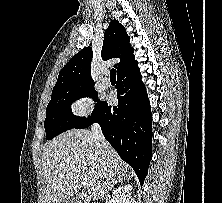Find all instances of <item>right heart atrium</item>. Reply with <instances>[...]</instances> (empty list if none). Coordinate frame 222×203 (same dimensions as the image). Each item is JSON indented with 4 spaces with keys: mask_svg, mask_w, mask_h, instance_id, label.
Here are the masks:
<instances>
[{
    "mask_svg": "<svg viewBox=\"0 0 222 203\" xmlns=\"http://www.w3.org/2000/svg\"><path fill=\"white\" fill-rule=\"evenodd\" d=\"M92 100L88 95H82L76 98L72 103V111L78 116L88 115L92 110Z\"/></svg>",
    "mask_w": 222,
    "mask_h": 203,
    "instance_id": "obj_1",
    "label": "right heart atrium"
}]
</instances>
